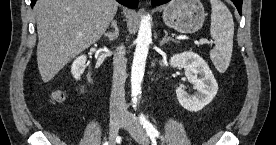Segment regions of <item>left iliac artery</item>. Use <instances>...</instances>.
<instances>
[{"mask_svg":"<svg viewBox=\"0 0 276 145\" xmlns=\"http://www.w3.org/2000/svg\"><path fill=\"white\" fill-rule=\"evenodd\" d=\"M139 120L141 125H143V128H145L150 138L161 137L158 130L152 125V123L149 122V120L143 114L139 116Z\"/></svg>","mask_w":276,"mask_h":145,"instance_id":"44dca946","label":"left iliac artery"}]
</instances>
